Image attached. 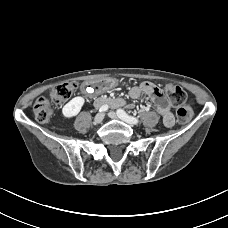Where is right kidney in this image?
I'll return each instance as SVG.
<instances>
[{
	"label": "right kidney",
	"instance_id": "right-kidney-1",
	"mask_svg": "<svg viewBox=\"0 0 228 228\" xmlns=\"http://www.w3.org/2000/svg\"><path fill=\"white\" fill-rule=\"evenodd\" d=\"M84 98L77 96L71 99L62 109V114L66 118L76 116L84 105Z\"/></svg>",
	"mask_w": 228,
	"mask_h": 228
}]
</instances>
